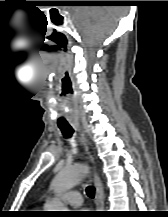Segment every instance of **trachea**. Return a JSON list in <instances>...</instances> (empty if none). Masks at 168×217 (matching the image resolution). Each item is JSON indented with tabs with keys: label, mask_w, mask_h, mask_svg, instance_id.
<instances>
[{
	"label": "trachea",
	"mask_w": 168,
	"mask_h": 217,
	"mask_svg": "<svg viewBox=\"0 0 168 217\" xmlns=\"http://www.w3.org/2000/svg\"><path fill=\"white\" fill-rule=\"evenodd\" d=\"M60 130H61L63 136L66 138L72 137V135L74 133V130L72 129V127H60ZM86 194L88 195V197L94 198L95 188L93 186H88L86 188Z\"/></svg>",
	"instance_id": "3493384b"
}]
</instances>
